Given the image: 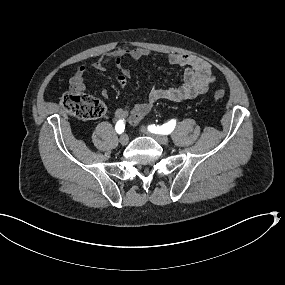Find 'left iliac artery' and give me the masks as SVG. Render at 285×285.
I'll return each mask as SVG.
<instances>
[{
    "label": "left iliac artery",
    "instance_id": "left-iliac-artery-1",
    "mask_svg": "<svg viewBox=\"0 0 285 285\" xmlns=\"http://www.w3.org/2000/svg\"><path fill=\"white\" fill-rule=\"evenodd\" d=\"M176 125V120H171L166 124H163L161 126H155V125H150L148 126L149 131L155 134H170Z\"/></svg>",
    "mask_w": 285,
    "mask_h": 285
}]
</instances>
